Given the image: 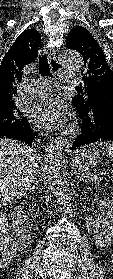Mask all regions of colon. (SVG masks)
Returning a JSON list of instances; mask_svg holds the SVG:
<instances>
[{"instance_id":"colon-1","label":"colon","mask_w":113,"mask_h":279,"mask_svg":"<svg viewBox=\"0 0 113 279\" xmlns=\"http://www.w3.org/2000/svg\"><path fill=\"white\" fill-rule=\"evenodd\" d=\"M14 245L11 230L7 219L0 213V262L9 259L13 253Z\"/></svg>"}]
</instances>
